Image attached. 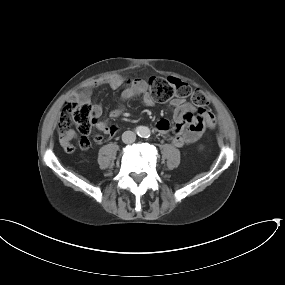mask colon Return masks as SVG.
<instances>
[{"label": "colon", "instance_id": "1", "mask_svg": "<svg viewBox=\"0 0 285 285\" xmlns=\"http://www.w3.org/2000/svg\"><path fill=\"white\" fill-rule=\"evenodd\" d=\"M149 91L153 99L158 102H166L176 97H189L194 106L204 108L208 105V99L200 90H192L189 83L172 77H152L149 80ZM214 117L211 115L206 120L209 128L214 126ZM75 126L82 139L90 136L94 127L91 115V106L88 101L67 100L64 103L59 119V135L63 143H66V135L71 126ZM95 140H101L102 135L94 134Z\"/></svg>", "mask_w": 285, "mask_h": 285}]
</instances>
